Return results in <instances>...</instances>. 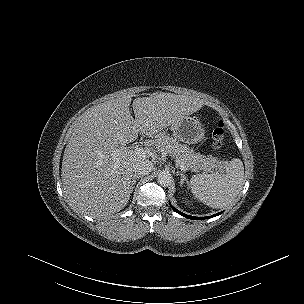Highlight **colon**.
I'll use <instances>...</instances> for the list:
<instances>
[{
	"label": "colon",
	"instance_id": "1",
	"mask_svg": "<svg viewBox=\"0 0 304 304\" xmlns=\"http://www.w3.org/2000/svg\"><path fill=\"white\" fill-rule=\"evenodd\" d=\"M224 134H225L224 124L222 122H219L217 127L213 131L214 145L217 149H220L222 146Z\"/></svg>",
	"mask_w": 304,
	"mask_h": 304
}]
</instances>
